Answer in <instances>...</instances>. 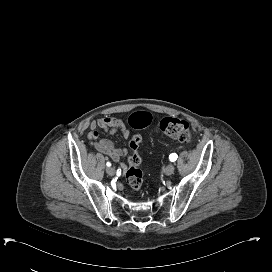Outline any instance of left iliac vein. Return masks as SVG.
Masks as SVG:
<instances>
[{
    "instance_id": "1",
    "label": "left iliac vein",
    "mask_w": 272,
    "mask_h": 272,
    "mask_svg": "<svg viewBox=\"0 0 272 272\" xmlns=\"http://www.w3.org/2000/svg\"><path fill=\"white\" fill-rule=\"evenodd\" d=\"M174 170H175V166L173 164H169L165 168V174L166 175H171V174H173Z\"/></svg>"
}]
</instances>
